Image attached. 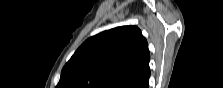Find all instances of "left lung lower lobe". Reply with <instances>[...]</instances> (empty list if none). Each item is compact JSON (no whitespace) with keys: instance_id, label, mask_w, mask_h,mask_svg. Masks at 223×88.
Returning <instances> with one entry per match:
<instances>
[{"instance_id":"1","label":"left lung lower lobe","mask_w":223,"mask_h":88,"mask_svg":"<svg viewBox=\"0 0 223 88\" xmlns=\"http://www.w3.org/2000/svg\"><path fill=\"white\" fill-rule=\"evenodd\" d=\"M135 88H149V77L139 83Z\"/></svg>"}]
</instances>
